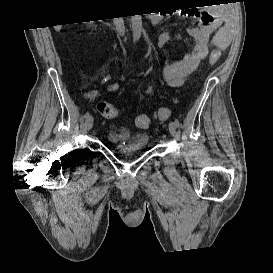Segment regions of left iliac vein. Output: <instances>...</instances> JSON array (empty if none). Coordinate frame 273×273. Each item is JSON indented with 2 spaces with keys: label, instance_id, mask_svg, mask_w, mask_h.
I'll return each mask as SVG.
<instances>
[{
  "label": "left iliac vein",
  "instance_id": "4c4485c4",
  "mask_svg": "<svg viewBox=\"0 0 273 273\" xmlns=\"http://www.w3.org/2000/svg\"><path fill=\"white\" fill-rule=\"evenodd\" d=\"M169 132L172 136H175L176 134V125L172 121L169 123Z\"/></svg>",
  "mask_w": 273,
  "mask_h": 273
}]
</instances>
